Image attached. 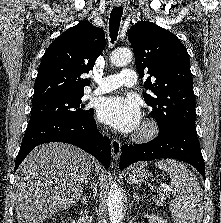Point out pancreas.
I'll return each instance as SVG.
<instances>
[{"label":"pancreas","instance_id":"pancreas-1","mask_svg":"<svg viewBox=\"0 0 221 223\" xmlns=\"http://www.w3.org/2000/svg\"><path fill=\"white\" fill-rule=\"evenodd\" d=\"M155 202L159 206L164 205L165 195L163 193H158L157 197L154 198Z\"/></svg>","mask_w":221,"mask_h":223}]
</instances>
